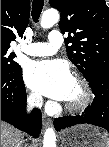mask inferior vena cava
Listing matches in <instances>:
<instances>
[{
	"instance_id": "1",
	"label": "inferior vena cava",
	"mask_w": 109,
	"mask_h": 147,
	"mask_svg": "<svg viewBox=\"0 0 109 147\" xmlns=\"http://www.w3.org/2000/svg\"><path fill=\"white\" fill-rule=\"evenodd\" d=\"M42 104H43V98L41 95L35 94V95L31 96L30 107L27 109V112L30 113V111L34 105L41 106ZM24 147H27V146L24 145Z\"/></svg>"
}]
</instances>
